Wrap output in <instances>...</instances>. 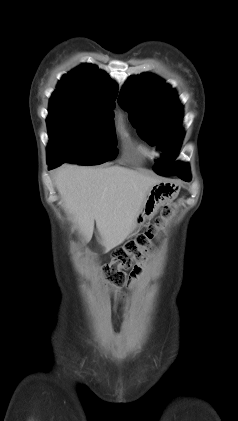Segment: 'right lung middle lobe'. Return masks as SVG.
I'll list each match as a JSON object with an SVG mask.
<instances>
[{"label": "right lung middle lobe", "instance_id": "right-lung-middle-lobe-1", "mask_svg": "<svg viewBox=\"0 0 238 421\" xmlns=\"http://www.w3.org/2000/svg\"><path fill=\"white\" fill-rule=\"evenodd\" d=\"M114 107L52 96L47 118V160L97 165L115 159Z\"/></svg>", "mask_w": 238, "mask_h": 421}]
</instances>
